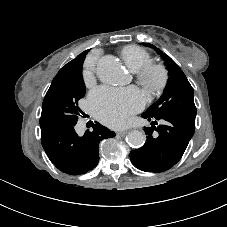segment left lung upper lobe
<instances>
[{"instance_id": "1", "label": "left lung upper lobe", "mask_w": 227, "mask_h": 227, "mask_svg": "<svg viewBox=\"0 0 227 227\" xmlns=\"http://www.w3.org/2000/svg\"><path fill=\"white\" fill-rule=\"evenodd\" d=\"M144 46L154 48L163 58L169 78L162 96L146 112L151 116H162L176 113L196 117L193 88L179 66L160 49L148 43Z\"/></svg>"}]
</instances>
